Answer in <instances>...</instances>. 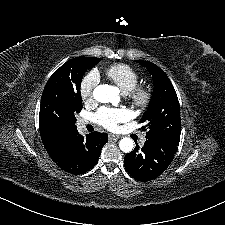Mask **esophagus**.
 <instances>
[{
  "label": "esophagus",
  "mask_w": 225,
  "mask_h": 225,
  "mask_svg": "<svg viewBox=\"0 0 225 225\" xmlns=\"http://www.w3.org/2000/svg\"><path fill=\"white\" fill-rule=\"evenodd\" d=\"M108 137H109L110 140H118L120 138L119 135H115V134H109Z\"/></svg>",
  "instance_id": "esophagus-1"
}]
</instances>
